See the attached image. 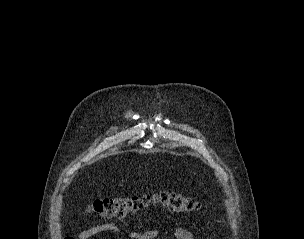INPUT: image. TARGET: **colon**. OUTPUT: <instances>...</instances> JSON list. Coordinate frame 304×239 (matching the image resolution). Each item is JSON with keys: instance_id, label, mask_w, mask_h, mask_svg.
<instances>
[{"instance_id": "1", "label": "colon", "mask_w": 304, "mask_h": 239, "mask_svg": "<svg viewBox=\"0 0 304 239\" xmlns=\"http://www.w3.org/2000/svg\"><path fill=\"white\" fill-rule=\"evenodd\" d=\"M156 203L175 213L196 211L201 207L200 203L192 197L175 192H160L143 196L98 199L90 205L89 211L101 218H124Z\"/></svg>"}]
</instances>
